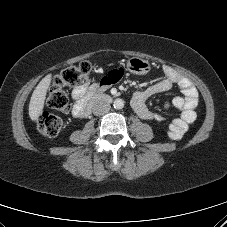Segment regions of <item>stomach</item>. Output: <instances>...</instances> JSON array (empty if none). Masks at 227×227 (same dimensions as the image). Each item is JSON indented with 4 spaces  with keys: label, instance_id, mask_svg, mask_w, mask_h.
<instances>
[{
    "label": "stomach",
    "instance_id": "obj_1",
    "mask_svg": "<svg viewBox=\"0 0 227 227\" xmlns=\"http://www.w3.org/2000/svg\"><path fill=\"white\" fill-rule=\"evenodd\" d=\"M151 65L148 60L132 57L127 61V70L136 75H144L149 72Z\"/></svg>",
    "mask_w": 227,
    "mask_h": 227
}]
</instances>
